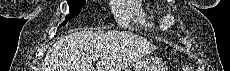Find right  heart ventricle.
<instances>
[{"instance_id":"1","label":"right heart ventricle","mask_w":230,"mask_h":71,"mask_svg":"<svg viewBox=\"0 0 230 71\" xmlns=\"http://www.w3.org/2000/svg\"><path fill=\"white\" fill-rule=\"evenodd\" d=\"M142 0L117 1L113 8L117 22L123 27L138 25L146 27L149 25V17L145 11Z\"/></svg>"}]
</instances>
